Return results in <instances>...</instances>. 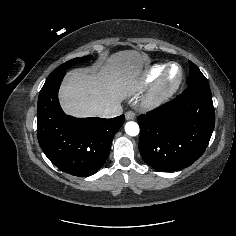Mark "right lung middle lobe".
Here are the masks:
<instances>
[{
	"mask_svg": "<svg viewBox=\"0 0 236 236\" xmlns=\"http://www.w3.org/2000/svg\"><path fill=\"white\" fill-rule=\"evenodd\" d=\"M91 58V55L86 56V57H78V58H74L72 60L67 61L66 63L60 65L59 67H57L48 77H53L54 75L60 73V72H64L66 69L70 68L71 66L86 61L88 59Z\"/></svg>",
	"mask_w": 236,
	"mask_h": 236,
	"instance_id": "1",
	"label": "right lung middle lobe"
}]
</instances>
